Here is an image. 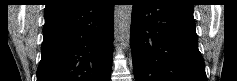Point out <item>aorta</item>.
Returning a JSON list of instances; mask_svg holds the SVG:
<instances>
[{
    "label": "aorta",
    "mask_w": 237,
    "mask_h": 81,
    "mask_svg": "<svg viewBox=\"0 0 237 81\" xmlns=\"http://www.w3.org/2000/svg\"><path fill=\"white\" fill-rule=\"evenodd\" d=\"M118 37L123 50L130 46L132 5H118L116 8Z\"/></svg>",
    "instance_id": "obj_1"
}]
</instances>
